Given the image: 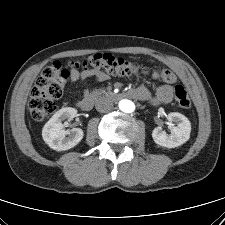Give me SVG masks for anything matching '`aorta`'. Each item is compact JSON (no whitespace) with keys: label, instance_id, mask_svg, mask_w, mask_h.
<instances>
[{"label":"aorta","instance_id":"aorta-1","mask_svg":"<svg viewBox=\"0 0 225 225\" xmlns=\"http://www.w3.org/2000/svg\"><path fill=\"white\" fill-rule=\"evenodd\" d=\"M119 108L125 113H132L135 110V104L130 100L124 99L119 102Z\"/></svg>","mask_w":225,"mask_h":225}]
</instances>
